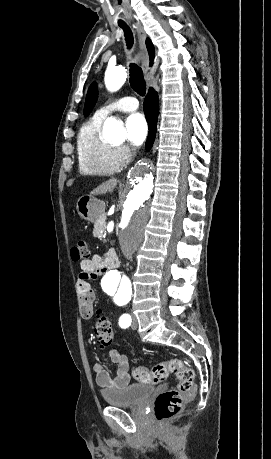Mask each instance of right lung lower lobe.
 <instances>
[{"mask_svg": "<svg viewBox=\"0 0 271 459\" xmlns=\"http://www.w3.org/2000/svg\"><path fill=\"white\" fill-rule=\"evenodd\" d=\"M144 112L149 123V136L146 142V148L149 150L155 139L156 126L159 112V102L157 92L150 88L147 97L144 100Z\"/></svg>", "mask_w": 271, "mask_h": 459, "instance_id": "obj_1", "label": "right lung lower lobe"}]
</instances>
